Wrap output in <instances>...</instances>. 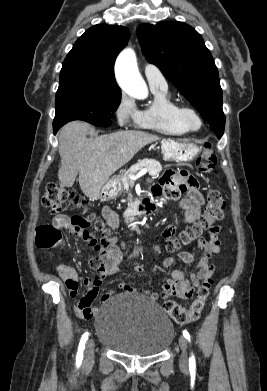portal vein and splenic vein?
I'll return each mask as SVG.
<instances>
[{
	"label": "portal vein and splenic vein",
	"mask_w": 267,
	"mask_h": 391,
	"mask_svg": "<svg viewBox=\"0 0 267 391\" xmlns=\"http://www.w3.org/2000/svg\"><path fill=\"white\" fill-rule=\"evenodd\" d=\"M147 171H148V169L145 168V169L141 170L139 173H137L136 175L130 176V178L132 180H136L137 178H139V177L143 176L144 174H146Z\"/></svg>",
	"instance_id": "18ae733b"
}]
</instances>
